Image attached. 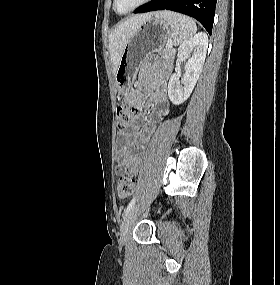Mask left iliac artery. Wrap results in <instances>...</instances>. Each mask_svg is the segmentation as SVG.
Here are the masks:
<instances>
[{
	"instance_id": "1",
	"label": "left iliac artery",
	"mask_w": 280,
	"mask_h": 285,
	"mask_svg": "<svg viewBox=\"0 0 280 285\" xmlns=\"http://www.w3.org/2000/svg\"><path fill=\"white\" fill-rule=\"evenodd\" d=\"M136 202V197H133L132 200L130 201V203L128 204L126 210H125V215L128 214V212L132 209V207L134 206Z\"/></svg>"
}]
</instances>
